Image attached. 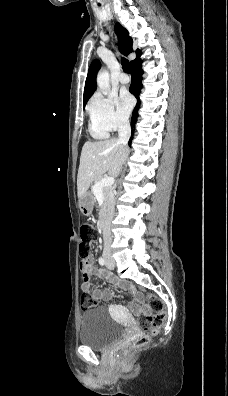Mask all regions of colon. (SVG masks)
Listing matches in <instances>:
<instances>
[{
	"instance_id": "1",
	"label": "colon",
	"mask_w": 228,
	"mask_h": 396,
	"mask_svg": "<svg viewBox=\"0 0 228 396\" xmlns=\"http://www.w3.org/2000/svg\"><path fill=\"white\" fill-rule=\"evenodd\" d=\"M90 225L83 224L80 227V245L79 252L82 261H86L90 258V246L88 244V236L90 233ZM148 302L153 311V314L143 315L138 321L139 328L142 332L146 333L137 337L131 344V350H138L147 346L150 342L151 335H156L163 322H164V304L154 294L148 295ZM98 301L89 293H83L81 297V307L83 309H92L97 307Z\"/></svg>"
}]
</instances>
